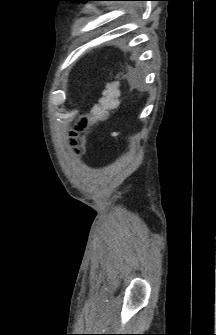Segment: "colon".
I'll return each mask as SVG.
<instances>
[{
    "label": "colon",
    "instance_id": "1",
    "mask_svg": "<svg viewBox=\"0 0 216 335\" xmlns=\"http://www.w3.org/2000/svg\"><path fill=\"white\" fill-rule=\"evenodd\" d=\"M119 81L108 83L99 101L91 108L90 112L83 115L78 121L75 130L70 135V143L72 146L76 145V137L79 134L86 132L90 126L99 121H105L108 115L117 109L119 105Z\"/></svg>",
    "mask_w": 216,
    "mask_h": 335
}]
</instances>
